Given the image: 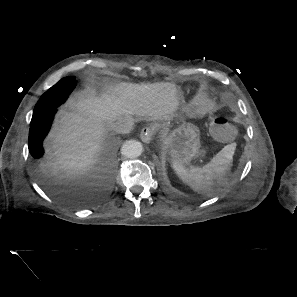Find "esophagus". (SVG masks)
Returning a JSON list of instances; mask_svg holds the SVG:
<instances>
[{"instance_id":"34e87169","label":"esophagus","mask_w":297,"mask_h":297,"mask_svg":"<svg viewBox=\"0 0 297 297\" xmlns=\"http://www.w3.org/2000/svg\"><path fill=\"white\" fill-rule=\"evenodd\" d=\"M154 133H155V130L153 127H144L141 130L140 138L144 143H150V141L153 138Z\"/></svg>"}]
</instances>
